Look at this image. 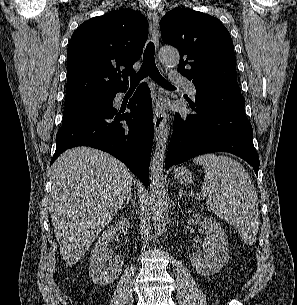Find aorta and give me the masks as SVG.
Segmentation results:
<instances>
[{
  "instance_id": "obj_1",
  "label": "aorta",
  "mask_w": 297,
  "mask_h": 305,
  "mask_svg": "<svg viewBox=\"0 0 297 305\" xmlns=\"http://www.w3.org/2000/svg\"><path fill=\"white\" fill-rule=\"evenodd\" d=\"M159 59L167 67H176L179 64L180 56L176 48L164 47L159 52ZM169 135L170 125L165 121L160 129L150 164V206L153 225L158 235L165 231L168 220V202L164 183L163 163Z\"/></svg>"
}]
</instances>
